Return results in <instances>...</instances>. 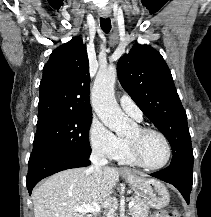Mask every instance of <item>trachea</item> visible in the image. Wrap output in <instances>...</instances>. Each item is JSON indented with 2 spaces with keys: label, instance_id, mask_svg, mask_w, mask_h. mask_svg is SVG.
<instances>
[{
  "label": "trachea",
  "instance_id": "1",
  "mask_svg": "<svg viewBox=\"0 0 211 217\" xmlns=\"http://www.w3.org/2000/svg\"><path fill=\"white\" fill-rule=\"evenodd\" d=\"M100 25L105 33H109L111 30V20L110 18H100Z\"/></svg>",
  "mask_w": 211,
  "mask_h": 217
}]
</instances>
